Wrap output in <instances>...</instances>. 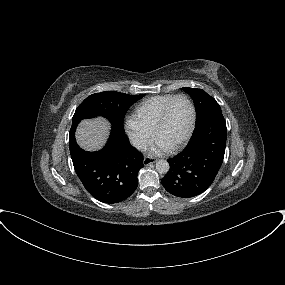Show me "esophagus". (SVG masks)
<instances>
[{
    "label": "esophagus",
    "instance_id": "esophagus-1",
    "mask_svg": "<svg viewBox=\"0 0 285 285\" xmlns=\"http://www.w3.org/2000/svg\"><path fill=\"white\" fill-rule=\"evenodd\" d=\"M156 161H157V160L154 159V158L145 157L144 160H143V164H144L145 166H148V165H150V164H152V163H155Z\"/></svg>",
    "mask_w": 285,
    "mask_h": 285
}]
</instances>
